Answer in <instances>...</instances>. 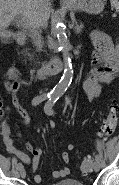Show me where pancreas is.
Wrapping results in <instances>:
<instances>
[{
	"instance_id": "cf45deb5",
	"label": "pancreas",
	"mask_w": 119,
	"mask_h": 185,
	"mask_svg": "<svg viewBox=\"0 0 119 185\" xmlns=\"http://www.w3.org/2000/svg\"><path fill=\"white\" fill-rule=\"evenodd\" d=\"M82 29H83V25L80 24V25H77L74 30L76 33H80ZM30 38H31L32 44L36 47L38 51H40L43 47V42L41 40V37L38 34L33 33L30 35Z\"/></svg>"
}]
</instances>
